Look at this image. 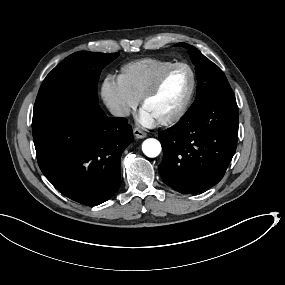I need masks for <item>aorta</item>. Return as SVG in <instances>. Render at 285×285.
Masks as SVG:
<instances>
[{
	"label": "aorta",
	"mask_w": 285,
	"mask_h": 285,
	"mask_svg": "<svg viewBox=\"0 0 285 285\" xmlns=\"http://www.w3.org/2000/svg\"><path fill=\"white\" fill-rule=\"evenodd\" d=\"M142 150L147 157L155 158L161 152V144L156 139H147L142 144Z\"/></svg>",
	"instance_id": "obj_1"
}]
</instances>
